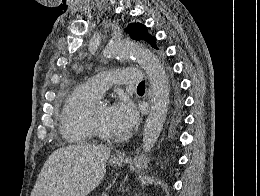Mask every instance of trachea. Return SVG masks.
<instances>
[{
	"label": "trachea",
	"instance_id": "1",
	"mask_svg": "<svg viewBox=\"0 0 260 196\" xmlns=\"http://www.w3.org/2000/svg\"><path fill=\"white\" fill-rule=\"evenodd\" d=\"M145 88V81H141V83H139L137 89H144Z\"/></svg>",
	"mask_w": 260,
	"mask_h": 196
}]
</instances>
